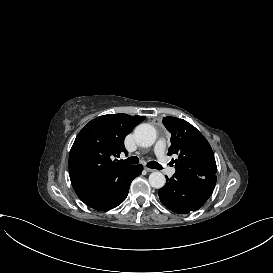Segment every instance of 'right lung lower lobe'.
Instances as JSON below:
<instances>
[{
    "label": "right lung lower lobe",
    "instance_id": "1",
    "mask_svg": "<svg viewBox=\"0 0 273 273\" xmlns=\"http://www.w3.org/2000/svg\"><path fill=\"white\" fill-rule=\"evenodd\" d=\"M142 170V165H133L129 171L113 178L110 181L106 195L101 200L88 206L100 211L110 210L118 206L127 197L132 180L139 176Z\"/></svg>",
    "mask_w": 273,
    "mask_h": 273
}]
</instances>
